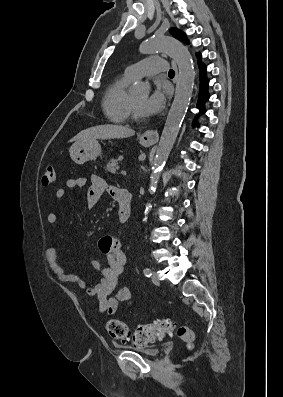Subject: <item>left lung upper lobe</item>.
Masks as SVG:
<instances>
[{
	"instance_id": "left-lung-upper-lobe-1",
	"label": "left lung upper lobe",
	"mask_w": 283,
	"mask_h": 397,
	"mask_svg": "<svg viewBox=\"0 0 283 397\" xmlns=\"http://www.w3.org/2000/svg\"><path fill=\"white\" fill-rule=\"evenodd\" d=\"M170 33H171L175 38H177V39H179V40H181V41H183V42H185V43H188V39H187L186 35H185L182 31L178 30L177 28H172V29L170 30Z\"/></svg>"
}]
</instances>
